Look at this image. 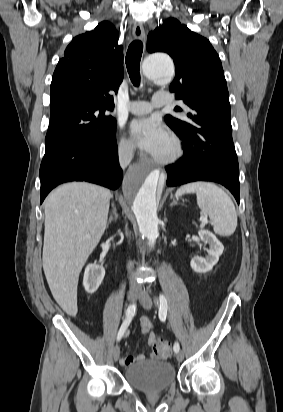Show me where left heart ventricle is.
Instances as JSON below:
<instances>
[{
    "label": "left heart ventricle",
    "instance_id": "b2bd125f",
    "mask_svg": "<svg viewBox=\"0 0 283 412\" xmlns=\"http://www.w3.org/2000/svg\"><path fill=\"white\" fill-rule=\"evenodd\" d=\"M173 146L169 138L163 143V145L153 154L160 157L168 156L172 153Z\"/></svg>",
    "mask_w": 283,
    "mask_h": 412
}]
</instances>
